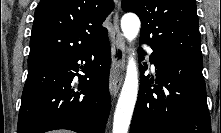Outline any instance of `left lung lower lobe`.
Instances as JSON below:
<instances>
[{
  "label": "left lung lower lobe",
  "instance_id": "obj_1",
  "mask_svg": "<svg viewBox=\"0 0 221 133\" xmlns=\"http://www.w3.org/2000/svg\"><path fill=\"white\" fill-rule=\"evenodd\" d=\"M150 46L157 85L140 67L142 84L130 133H211L202 58ZM138 53L142 60L145 52L139 48Z\"/></svg>",
  "mask_w": 221,
  "mask_h": 133
}]
</instances>
